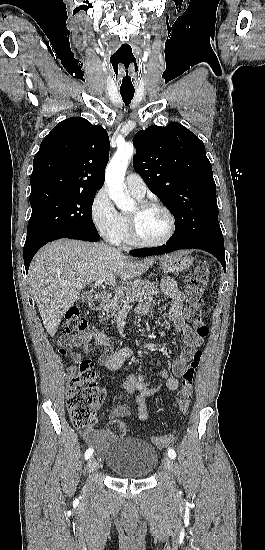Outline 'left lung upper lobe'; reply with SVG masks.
I'll use <instances>...</instances> for the list:
<instances>
[{"label": "left lung upper lobe", "instance_id": "5c2ea615", "mask_svg": "<svg viewBox=\"0 0 265 550\" xmlns=\"http://www.w3.org/2000/svg\"><path fill=\"white\" fill-rule=\"evenodd\" d=\"M133 142L135 171L175 217V233L168 242L224 250L216 185L204 143L177 122L141 130Z\"/></svg>", "mask_w": 265, "mask_h": 550}]
</instances>
